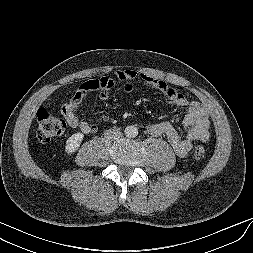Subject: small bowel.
<instances>
[{"label": "small bowel", "mask_w": 253, "mask_h": 253, "mask_svg": "<svg viewBox=\"0 0 253 253\" xmlns=\"http://www.w3.org/2000/svg\"><path fill=\"white\" fill-rule=\"evenodd\" d=\"M117 78L123 82L125 93L133 92V80L140 77L147 84L148 88L161 92L168 103L186 107L187 113L183 118V126L186 130L184 138H181L175 127L170 122H159L149 124L147 132L158 137L164 135L170 143L173 151L179 157L189 156L193 142H207L210 138V120L207 109L198 102L189 101L183 94L171 87L165 81L152 76L149 73H142L135 69L119 70ZM114 86V81L110 78L102 77L89 80L81 84L75 91L71 99L62 106V114L68 124L73 128H78L83 134H93L98 130L99 122H106L108 117L101 116L96 122L89 123L82 120L76 108L83 101L86 95L93 91H98L100 99L105 101L109 97V92Z\"/></svg>", "instance_id": "small-bowel-1"}]
</instances>
